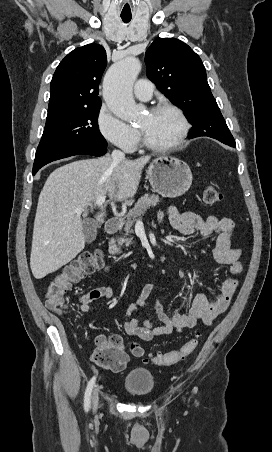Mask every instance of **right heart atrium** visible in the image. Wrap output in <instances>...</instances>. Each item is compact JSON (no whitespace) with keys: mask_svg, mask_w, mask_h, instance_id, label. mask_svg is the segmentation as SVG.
<instances>
[{"mask_svg":"<svg viewBox=\"0 0 272 452\" xmlns=\"http://www.w3.org/2000/svg\"><path fill=\"white\" fill-rule=\"evenodd\" d=\"M96 124L98 131L107 142L127 152L135 148L138 140L135 129L112 114L106 107L100 108Z\"/></svg>","mask_w":272,"mask_h":452,"instance_id":"1","label":"right heart atrium"}]
</instances>
